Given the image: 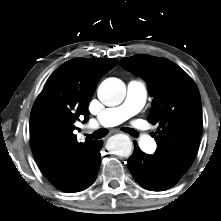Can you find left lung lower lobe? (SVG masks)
Instances as JSON below:
<instances>
[{"mask_svg":"<svg viewBox=\"0 0 221 221\" xmlns=\"http://www.w3.org/2000/svg\"><path fill=\"white\" fill-rule=\"evenodd\" d=\"M134 146V152L128 159L127 166L142 187L151 191H164L177 183L168 178L153 155L142 152L136 143Z\"/></svg>","mask_w":221,"mask_h":221,"instance_id":"obj_1","label":"left lung lower lobe"}]
</instances>
